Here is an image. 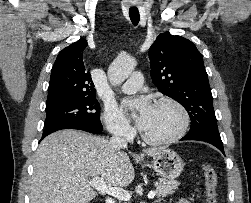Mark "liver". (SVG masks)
<instances>
[{
	"mask_svg": "<svg viewBox=\"0 0 251 203\" xmlns=\"http://www.w3.org/2000/svg\"><path fill=\"white\" fill-rule=\"evenodd\" d=\"M163 149L145 153L154 157ZM89 177L117 187L128 186L135 174L129 156L108 140L75 130L55 132L36 151L30 203H89L97 195Z\"/></svg>",
	"mask_w": 251,
	"mask_h": 203,
	"instance_id": "6515ba94",
	"label": "liver"
}]
</instances>
